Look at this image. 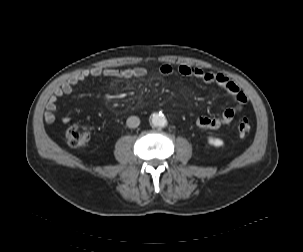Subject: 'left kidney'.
I'll list each match as a JSON object with an SVG mask.
<instances>
[{
	"instance_id": "left-kidney-1",
	"label": "left kidney",
	"mask_w": 303,
	"mask_h": 252,
	"mask_svg": "<svg viewBox=\"0 0 303 252\" xmlns=\"http://www.w3.org/2000/svg\"><path fill=\"white\" fill-rule=\"evenodd\" d=\"M208 143L216 147H220L224 144L223 140L213 137L208 138Z\"/></svg>"
}]
</instances>
